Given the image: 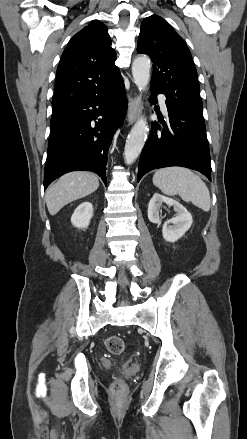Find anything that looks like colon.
<instances>
[{
  "instance_id": "1",
  "label": "colon",
  "mask_w": 247,
  "mask_h": 439,
  "mask_svg": "<svg viewBox=\"0 0 247 439\" xmlns=\"http://www.w3.org/2000/svg\"><path fill=\"white\" fill-rule=\"evenodd\" d=\"M104 346L112 354H121L125 350L124 341L115 335L109 336L104 340ZM111 390L115 394H121L124 390V383L121 379L116 378L112 385Z\"/></svg>"
}]
</instances>
